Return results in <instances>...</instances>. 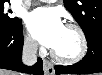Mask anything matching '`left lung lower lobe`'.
<instances>
[{
    "label": "left lung lower lobe",
    "mask_w": 102,
    "mask_h": 75,
    "mask_svg": "<svg viewBox=\"0 0 102 75\" xmlns=\"http://www.w3.org/2000/svg\"><path fill=\"white\" fill-rule=\"evenodd\" d=\"M88 51L76 64L55 66L56 74H78L102 72V31H94L86 36Z\"/></svg>",
    "instance_id": "0a47b994"
}]
</instances>
